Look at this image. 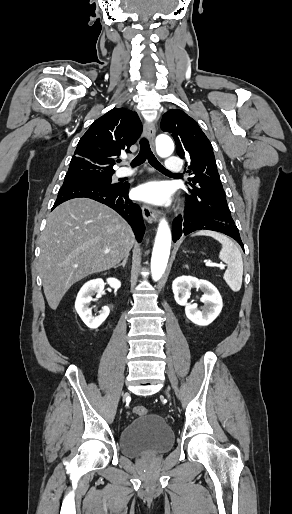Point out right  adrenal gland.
Listing matches in <instances>:
<instances>
[{"label":"right adrenal gland","instance_id":"2a0ac1e0","mask_svg":"<svg viewBox=\"0 0 292 514\" xmlns=\"http://www.w3.org/2000/svg\"><path fill=\"white\" fill-rule=\"evenodd\" d=\"M127 260H128V256H127V258H124L122 264H118V266H115V268H119V266H122V268H125Z\"/></svg>","mask_w":292,"mask_h":514}]
</instances>
